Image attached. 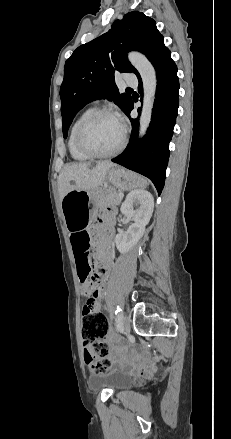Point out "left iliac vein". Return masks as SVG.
<instances>
[{
    "instance_id": "obj_1",
    "label": "left iliac vein",
    "mask_w": 231,
    "mask_h": 439,
    "mask_svg": "<svg viewBox=\"0 0 231 439\" xmlns=\"http://www.w3.org/2000/svg\"><path fill=\"white\" fill-rule=\"evenodd\" d=\"M122 328L126 333L130 332V320L125 314H122Z\"/></svg>"
}]
</instances>
